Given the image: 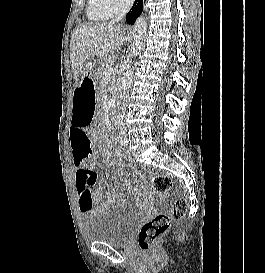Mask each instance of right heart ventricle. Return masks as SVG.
<instances>
[{
    "label": "right heart ventricle",
    "mask_w": 265,
    "mask_h": 273,
    "mask_svg": "<svg viewBox=\"0 0 265 273\" xmlns=\"http://www.w3.org/2000/svg\"><path fill=\"white\" fill-rule=\"evenodd\" d=\"M88 15L92 20H105L112 14L109 13L99 2V0H89Z\"/></svg>",
    "instance_id": "right-heart-ventricle-1"
}]
</instances>
